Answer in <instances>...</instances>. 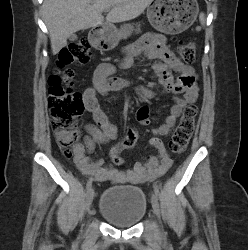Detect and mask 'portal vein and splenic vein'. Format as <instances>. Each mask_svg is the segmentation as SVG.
Segmentation results:
<instances>
[{"mask_svg":"<svg viewBox=\"0 0 248 250\" xmlns=\"http://www.w3.org/2000/svg\"><path fill=\"white\" fill-rule=\"evenodd\" d=\"M104 11H105V12H108V11H109V9H105Z\"/></svg>","mask_w":248,"mask_h":250,"instance_id":"obj_1","label":"portal vein and splenic vein"}]
</instances>
